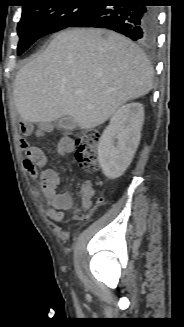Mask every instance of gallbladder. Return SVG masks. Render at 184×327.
I'll use <instances>...</instances> for the list:
<instances>
[{"mask_svg":"<svg viewBox=\"0 0 184 327\" xmlns=\"http://www.w3.org/2000/svg\"><path fill=\"white\" fill-rule=\"evenodd\" d=\"M75 126H76V121L73 117L70 116L63 117L57 122L58 129L71 130L75 128Z\"/></svg>","mask_w":184,"mask_h":327,"instance_id":"obj_1","label":"gallbladder"}]
</instances>
